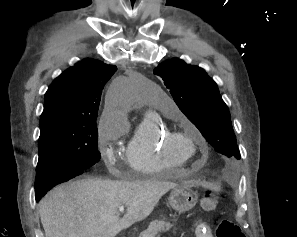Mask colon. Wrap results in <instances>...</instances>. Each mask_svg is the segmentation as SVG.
Returning <instances> with one entry per match:
<instances>
[{"mask_svg": "<svg viewBox=\"0 0 297 237\" xmlns=\"http://www.w3.org/2000/svg\"><path fill=\"white\" fill-rule=\"evenodd\" d=\"M225 192H219V196H224ZM203 210L212 211L216 208L217 197L211 192H206L200 200ZM216 237H245L240 227L231 220H221L215 224Z\"/></svg>", "mask_w": 297, "mask_h": 237, "instance_id": "5ec220e1", "label": "colon"}]
</instances>
